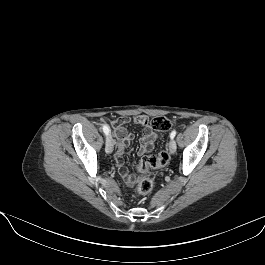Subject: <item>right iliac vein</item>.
<instances>
[{"mask_svg": "<svg viewBox=\"0 0 265 265\" xmlns=\"http://www.w3.org/2000/svg\"><path fill=\"white\" fill-rule=\"evenodd\" d=\"M114 140L111 136L108 137L107 142H106V147H105V151L106 153L110 154L113 151V147H114Z\"/></svg>", "mask_w": 265, "mask_h": 265, "instance_id": "obj_1", "label": "right iliac vein"}]
</instances>
